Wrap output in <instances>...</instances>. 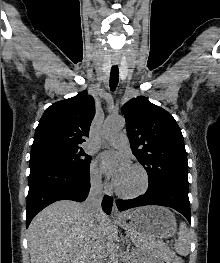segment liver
<instances>
[{"instance_id":"obj_1","label":"liver","mask_w":220,"mask_h":263,"mask_svg":"<svg viewBox=\"0 0 220 263\" xmlns=\"http://www.w3.org/2000/svg\"><path fill=\"white\" fill-rule=\"evenodd\" d=\"M110 218L102 214L95 227L105 235ZM95 232L84 203L57 201L35 216L29 225L31 263H87Z\"/></svg>"}]
</instances>
